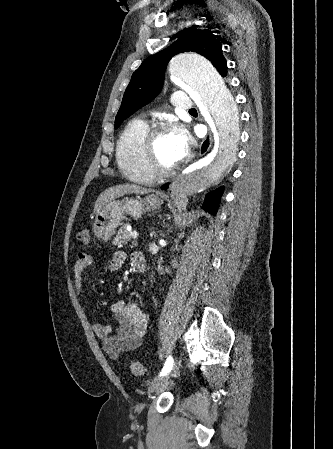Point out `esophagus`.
<instances>
[{"label":"esophagus","instance_id":"obj_1","mask_svg":"<svg viewBox=\"0 0 333 449\" xmlns=\"http://www.w3.org/2000/svg\"><path fill=\"white\" fill-rule=\"evenodd\" d=\"M211 144H212V135H211V133H209L205 137V139L203 140V142H202V144L200 146V153L199 154L200 155L205 154L209 150V148L211 147Z\"/></svg>","mask_w":333,"mask_h":449}]
</instances>
